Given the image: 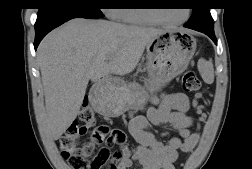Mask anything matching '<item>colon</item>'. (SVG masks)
<instances>
[{
	"mask_svg": "<svg viewBox=\"0 0 252 169\" xmlns=\"http://www.w3.org/2000/svg\"><path fill=\"white\" fill-rule=\"evenodd\" d=\"M182 87L190 93L200 90L201 82L194 71L184 72ZM197 98H200V95H197ZM79 118L82 124L71 125L60 139L63 158L72 169H114L117 160L108 147H103L94 154L92 144L81 143V137L96 122L94 111L89 105L81 107ZM93 135L108 145L118 144L128 149L124 134L120 129L100 125L95 129Z\"/></svg>",
	"mask_w": 252,
	"mask_h": 169,
	"instance_id": "5ec220e1",
	"label": "colon"
}]
</instances>
